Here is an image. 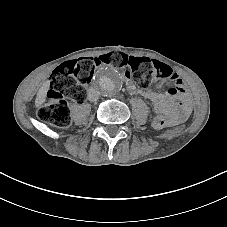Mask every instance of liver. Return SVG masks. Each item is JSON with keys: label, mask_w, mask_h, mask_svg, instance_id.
<instances>
[{"label": "liver", "mask_w": 227, "mask_h": 227, "mask_svg": "<svg viewBox=\"0 0 227 227\" xmlns=\"http://www.w3.org/2000/svg\"><path fill=\"white\" fill-rule=\"evenodd\" d=\"M47 90H48V83L46 82L42 85V87L39 89L37 93V97L35 100L37 105H41L44 102Z\"/></svg>", "instance_id": "6515ba94"}]
</instances>
